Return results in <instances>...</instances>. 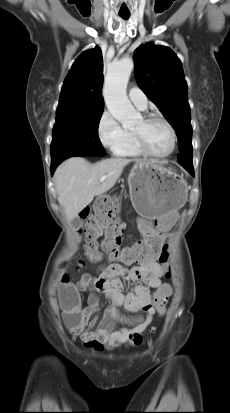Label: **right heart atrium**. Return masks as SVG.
Here are the masks:
<instances>
[{"label":"right heart atrium","mask_w":230,"mask_h":413,"mask_svg":"<svg viewBox=\"0 0 230 413\" xmlns=\"http://www.w3.org/2000/svg\"><path fill=\"white\" fill-rule=\"evenodd\" d=\"M97 133L103 147L113 154H117L128 139V131L107 110L100 116Z\"/></svg>","instance_id":"d8ad5b80"}]
</instances>
